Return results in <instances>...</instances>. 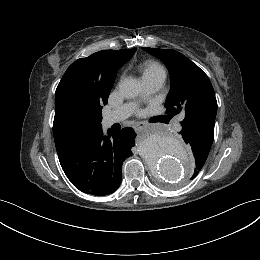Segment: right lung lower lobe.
I'll list each match as a JSON object with an SVG mask.
<instances>
[{
  "mask_svg": "<svg viewBox=\"0 0 260 260\" xmlns=\"http://www.w3.org/2000/svg\"><path fill=\"white\" fill-rule=\"evenodd\" d=\"M102 127L86 130L56 146L60 164L80 191L97 196L113 193L121 183L123 161L132 155L136 133L130 127L118 132Z\"/></svg>",
  "mask_w": 260,
  "mask_h": 260,
  "instance_id": "1",
  "label": "right lung lower lobe"
}]
</instances>
